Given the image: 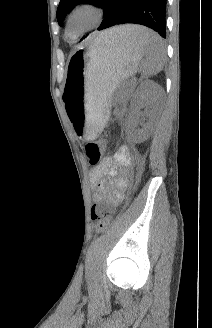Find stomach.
Wrapping results in <instances>:
<instances>
[{
	"label": "stomach",
	"instance_id": "stomach-1",
	"mask_svg": "<svg viewBox=\"0 0 212 328\" xmlns=\"http://www.w3.org/2000/svg\"><path fill=\"white\" fill-rule=\"evenodd\" d=\"M144 53L130 40H93L71 56L63 100L78 137L95 139L109 117L110 98L118 85L133 76Z\"/></svg>",
	"mask_w": 212,
	"mask_h": 328
}]
</instances>
